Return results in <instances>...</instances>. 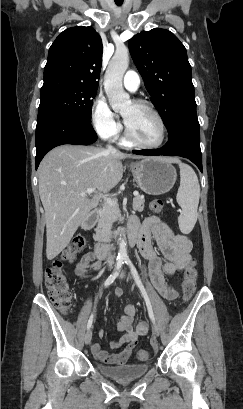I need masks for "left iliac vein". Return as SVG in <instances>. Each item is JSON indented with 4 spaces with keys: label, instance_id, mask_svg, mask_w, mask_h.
Returning <instances> with one entry per match:
<instances>
[{
    "label": "left iliac vein",
    "instance_id": "1",
    "mask_svg": "<svg viewBox=\"0 0 243 409\" xmlns=\"http://www.w3.org/2000/svg\"><path fill=\"white\" fill-rule=\"evenodd\" d=\"M124 275H125V273H124V271H122L121 274H120V278H123ZM153 333H154L156 336H159V334H160V329H159L158 325L155 324V323H154V325H153ZM155 350H157V349L155 348Z\"/></svg>",
    "mask_w": 243,
    "mask_h": 409
}]
</instances>
